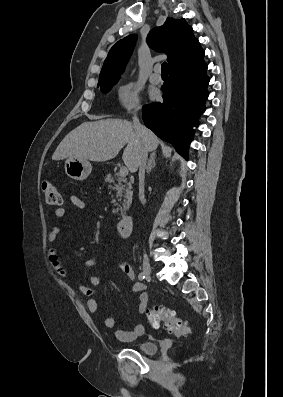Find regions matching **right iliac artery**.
I'll list each match as a JSON object with an SVG mask.
<instances>
[{
    "label": "right iliac artery",
    "mask_w": 283,
    "mask_h": 397,
    "mask_svg": "<svg viewBox=\"0 0 283 397\" xmlns=\"http://www.w3.org/2000/svg\"><path fill=\"white\" fill-rule=\"evenodd\" d=\"M138 279H139L140 281H142V280L145 279V275H144L143 272H141V273L138 275Z\"/></svg>",
    "instance_id": "1"
}]
</instances>
